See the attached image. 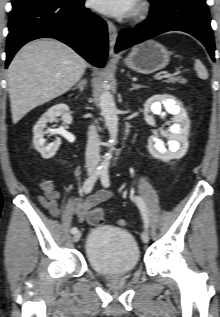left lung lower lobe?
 <instances>
[{"instance_id": "left-lung-lower-lobe-1", "label": "left lung lower lobe", "mask_w": 220, "mask_h": 317, "mask_svg": "<svg viewBox=\"0 0 220 317\" xmlns=\"http://www.w3.org/2000/svg\"><path fill=\"white\" fill-rule=\"evenodd\" d=\"M152 10L148 19L133 30L124 29L116 44V51L144 41L167 31H183L201 41L212 60L214 39L210 27L209 9L206 0H150Z\"/></svg>"}]
</instances>
